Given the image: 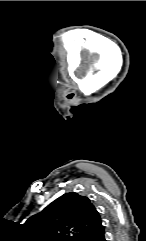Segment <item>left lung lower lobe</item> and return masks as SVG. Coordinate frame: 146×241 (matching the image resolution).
I'll return each instance as SVG.
<instances>
[{
  "label": "left lung lower lobe",
  "mask_w": 146,
  "mask_h": 241,
  "mask_svg": "<svg viewBox=\"0 0 146 241\" xmlns=\"http://www.w3.org/2000/svg\"><path fill=\"white\" fill-rule=\"evenodd\" d=\"M79 241H106L105 231L102 223L93 231L84 235Z\"/></svg>",
  "instance_id": "0a47b994"
}]
</instances>
